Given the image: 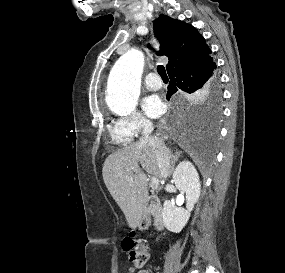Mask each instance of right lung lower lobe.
<instances>
[{
	"label": "right lung lower lobe",
	"mask_w": 285,
	"mask_h": 273,
	"mask_svg": "<svg viewBox=\"0 0 285 273\" xmlns=\"http://www.w3.org/2000/svg\"><path fill=\"white\" fill-rule=\"evenodd\" d=\"M210 54L196 58L168 73L170 90L167 99L179 89L189 94L201 91L215 79L216 64Z\"/></svg>",
	"instance_id": "98d812e1"
}]
</instances>
